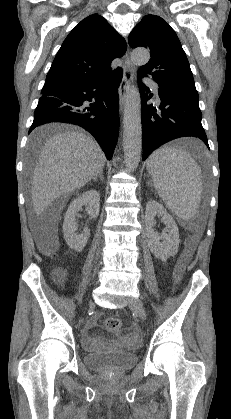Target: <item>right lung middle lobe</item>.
Here are the masks:
<instances>
[{"mask_svg": "<svg viewBox=\"0 0 231 419\" xmlns=\"http://www.w3.org/2000/svg\"><path fill=\"white\" fill-rule=\"evenodd\" d=\"M57 86H53V87H43V89H42V91H41V93H44V92H46V91H48V90H51V89H54V88H56ZM39 146V141L38 140H34L33 141V147L34 148H37Z\"/></svg>", "mask_w": 231, "mask_h": 419, "instance_id": "dd1d6c3e", "label": "right lung middle lobe"}]
</instances>
